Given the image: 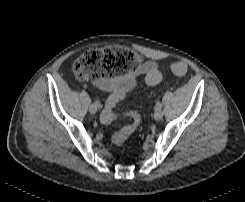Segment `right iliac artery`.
Masks as SVG:
<instances>
[{
	"instance_id": "obj_1",
	"label": "right iliac artery",
	"mask_w": 245,
	"mask_h": 202,
	"mask_svg": "<svg viewBox=\"0 0 245 202\" xmlns=\"http://www.w3.org/2000/svg\"><path fill=\"white\" fill-rule=\"evenodd\" d=\"M94 104H95L98 108H101V107H102V105H101V103H100L99 100H95Z\"/></svg>"
}]
</instances>
